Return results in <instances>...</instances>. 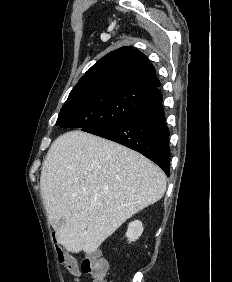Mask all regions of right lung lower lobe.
<instances>
[{"instance_id": "1", "label": "right lung lower lobe", "mask_w": 232, "mask_h": 282, "mask_svg": "<svg viewBox=\"0 0 232 282\" xmlns=\"http://www.w3.org/2000/svg\"><path fill=\"white\" fill-rule=\"evenodd\" d=\"M162 101L151 110L111 126H100L89 132L112 140L143 154L170 176L169 130Z\"/></svg>"}]
</instances>
